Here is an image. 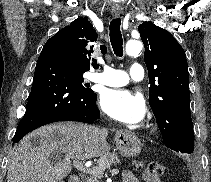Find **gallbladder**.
<instances>
[{"mask_svg":"<svg viewBox=\"0 0 211 182\" xmlns=\"http://www.w3.org/2000/svg\"><path fill=\"white\" fill-rule=\"evenodd\" d=\"M58 155H59V154L56 152V153H53V154L51 155V157H52V158H55V157H58Z\"/></svg>","mask_w":211,"mask_h":182,"instance_id":"gallbladder-1","label":"gallbladder"}]
</instances>
